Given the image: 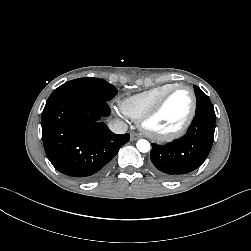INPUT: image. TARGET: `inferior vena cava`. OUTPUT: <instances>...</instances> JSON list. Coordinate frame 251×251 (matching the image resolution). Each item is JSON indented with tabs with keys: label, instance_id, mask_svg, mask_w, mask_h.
<instances>
[{
	"label": "inferior vena cava",
	"instance_id": "inferior-vena-cava-1",
	"mask_svg": "<svg viewBox=\"0 0 251 251\" xmlns=\"http://www.w3.org/2000/svg\"><path fill=\"white\" fill-rule=\"evenodd\" d=\"M109 129L116 134H124L128 129V125L120 120H113L109 123Z\"/></svg>",
	"mask_w": 251,
	"mask_h": 251
}]
</instances>
